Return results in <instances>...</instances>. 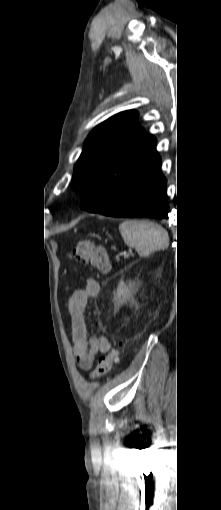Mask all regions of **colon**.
Segmentation results:
<instances>
[{
	"mask_svg": "<svg viewBox=\"0 0 221 510\" xmlns=\"http://www.w3.org/2000/svg\"><path fill=\"white\" fill-rule=\"evenodd\" d=\"M72 256L77 261L95 267L100 271H107L110 267V259L106 249L87 240H82L77 244ZM121 347L122 343H118L116 347L110 349L105 356L100 358L93 372V377H101L110 372L118 360Z\"/></svg>",
	"mask_w": 221,
	"mask_h": 510,
	"instance_id": "obj_1",
	"label": "colon"
}]
</instances>
